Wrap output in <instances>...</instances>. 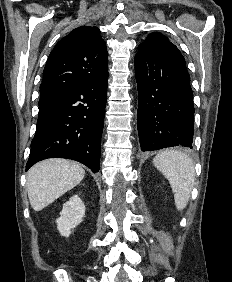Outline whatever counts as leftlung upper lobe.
<instances>
[{
  "label": "left lung upper lobe",
  "mask_w": 232,
  "mask_h": 282,
  "mask_svg": "<svg viewBox=\"0 0 232 282\" xmlns=\"http://www.w3.org/2000/svg\"><path fill=\"white\" fill-rule=\"evenodd\" d=\"M163 41H169V39L165 37L164 35H162L161 33L154 32L148 36V38L143 42V44L155 45Z\"/></svg>",
  "instance_id": "1"
}]
</instances>
